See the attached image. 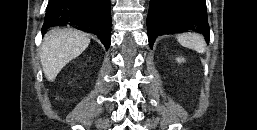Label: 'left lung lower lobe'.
<instances>
[{"label": "left lung lower lobe", "instance_id": "0a47b994", "mask_svg": "<svg viewBox=\"0 0 257 130\" xmlns=\"http://www.w3.org/2000/svg\"><path fill=\"white\" fill-rule=\"evenodd\" d=\"M194 30L209 41L205 0H150L147 16L149 46L162 34Z\"/></svg>", "mask_w": 257, "mask_h": 130}]
</instances>
